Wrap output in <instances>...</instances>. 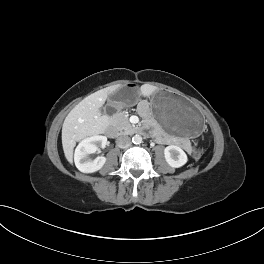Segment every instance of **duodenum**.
<instances>
[{"mask_svg":"<svg viewBox=\"0 0 264 264\" xmlns=\"http://www.w3.org/2000/svg\"><path fill=\"white\" fill-rule=\"evenodd\" d=\"M133 132L134 133H141L142 132V129L141 128H134L133 129ZM106 134L110 137H115L118 135V131L115 127H113L112 125H109L107 128H106Z\"/></svg>","mask_w":264,"mask_h":264,"instance_id":"duodenum-1","label":"duodenum"}]
</instances>
